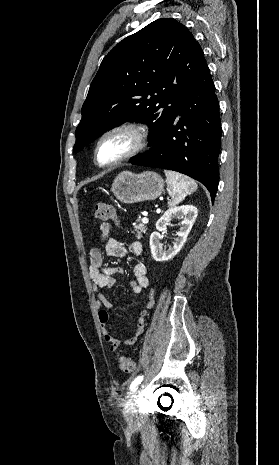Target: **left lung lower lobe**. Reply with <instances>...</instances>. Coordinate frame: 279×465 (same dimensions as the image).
<instances>
[{"mask_svg": "<svg viewBox=\"0 0 279 465\" xmlns=\"http://www.w3.org/2000/svg\"><path fill=\"white\" fill-rule=\"evenodd\" d=\"M221 133L219 102L203 58L167 130L148 151L130 162L188 175L205 185L214 201Z\"/></svg>", "mask_w": 279, "mask_h": 465, "instance_id": "1", "label": "left lung lower lobe"}]
</instances>
